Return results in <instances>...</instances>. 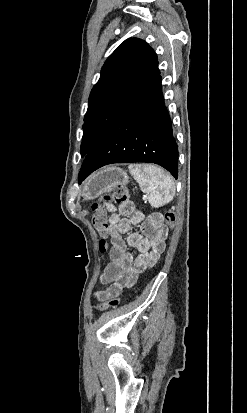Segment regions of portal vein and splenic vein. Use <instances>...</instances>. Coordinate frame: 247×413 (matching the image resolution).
<instances>
[{"mask_svg":"<svg viewBox=\"0 0 247 413\" xmlns=\"http://www.w3.org/2000/svg\"><path fill=\"white\" fill-rule=\"evenodd\" d=\"M144 193H146V192H144ZM142 199H143V201H146V198H145V196H142Z\"/></svg>","mask_w":247,"mask_h":413,"instance_id":"obj_1","label":"portal vein and splenic vein"}]
</instances>
